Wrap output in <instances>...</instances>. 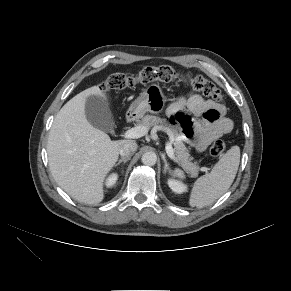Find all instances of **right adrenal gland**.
Instances as JSON below:
<instances>
[{
  "mask_svg": "<svg viewBox=\"0 0 291 291\" xmlns=\"http://www.w3.org/2000/svg\"><path fill=\"white\" fill-rule=\"evenodd\" d=\"M130 160V157H126V158H122V159H120L117 163H116V165L115 166H118L120 163H126L127 161H129Z\"/></svg>",
  "mask_w": 291,
  "mask_h": 291,
  "instance_id": "2a0ac1e0",
  "label": "right adrenal gland"
}]
</instances>
